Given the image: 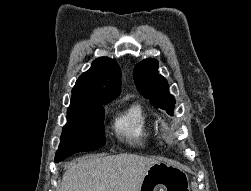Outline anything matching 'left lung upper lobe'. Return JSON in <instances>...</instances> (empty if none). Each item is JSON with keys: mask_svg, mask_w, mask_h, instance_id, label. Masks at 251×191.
Segmentation results:
<instances>
[{"mask_svg": "<svg viewBox=\"0 0 251 191\" xmlns=\"http://www.w3.org/2000/svg\"><path fill=\"white\" fill-rule=\"evenodd\" d=\"M158 62L155 59H145L135 66L133 77L141 95L150 99V103L173 115L175 99L169 93L168 82L158 74Z\"/></svg>", "mask_w": 251, "mask_h": 191, "instance_id": "obj_1", "label": "left lung upper lobe"}]
</instances>
